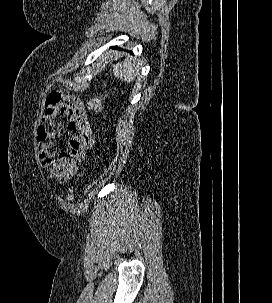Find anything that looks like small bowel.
<instances>
[{"instance_id": "obj_1", "label": "small bowel", "mask_w": 272, "mask_h": 303, "mask_svg": "<svg viewBox=\"0 0 272 303\" xmlns=\"http://www.w3.org/2000/svg\"><path fill=\"white\" fill-rule=\"evenodd\" d=\"M67 119L66 126L58 121ZM65 131L69 134L68 148L56 150L55 140ZM37 154L48 179L65 184L77 174L86 158L88 149L95 144V137L88 112L76 94L61 91L50 93L45 101L40 124L36 131Z\"/></svg>"}]
</instances>
